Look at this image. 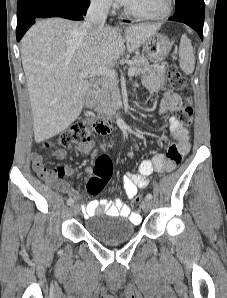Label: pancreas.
<instances>
[{"label": "pancreas", "instance_id": "cf45deb5", "mask_svg": "<svg viewBox=\"0 0 227 298\" xmlns=\"http://www.w3.org/2000/svg\"><path fill=\"white\" fill-rule=\"evenodd\" d=\"M130 68L135 69L136 75L144 74L150 69L148 59L144 56L132 58ZM121 94L118 83L113 79L103 78L100 80V87L96 91V106L94 110L101 115H110L120 105Z\"/></svg>", "mask_w": 227, "mask_h": 298}]
</instances>
